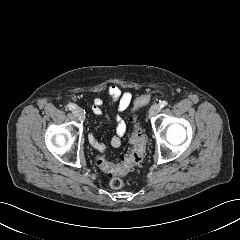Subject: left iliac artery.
I'll return each mask as SVG.
<instances>
[{
  "label": "left iliac artery",
  "instance_id": "left-iliac-artery-1",
  "mask_svg": "<svg viewBox=\"0 0 240 240\" xmlns=\"http://www.w3.org/2000/svg\"><path fill=\"white\" fill-rule=\"evenodd\" d=\"M160 107H165V106H167L168 105V102L167 101H165V100H163V101H160Z\"/></svg>",
  "mask_w": 240,
  "mask_h": 240
}]
</instances>
